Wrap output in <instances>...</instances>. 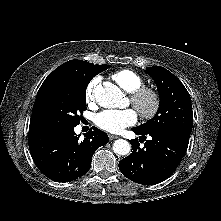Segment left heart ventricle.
Here are the masks:
<instances>
[{
  "label": "left heart ventricle",
  "mask_w": 221,
  "mask_h": 221,
  "mask_svg": "<svg viewBox=\"0 0 221 221\" xmlns=\"http://www.w3.org/2000/svg\"><path fill=\"white\" fill-rule=\"evenodd\" d=\"M149 106H150V101H149V100H146V101L144 102V104H143V107H144L145 109H147V108H149Z\"/></svg>",
  "instance_id": "left-heart-ventricle-1"
}]
</instances>
